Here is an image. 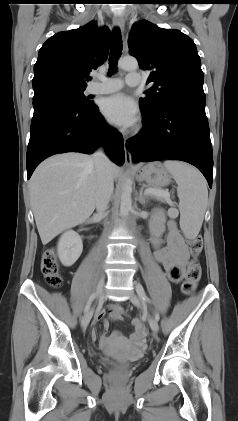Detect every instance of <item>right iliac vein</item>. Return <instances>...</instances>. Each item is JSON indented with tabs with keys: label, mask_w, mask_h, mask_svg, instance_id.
<instances>
[{
	"label": "right iliac vein",
	"mask_w": 238,
	"mask_h": 421,
	"mask_svg": "<svg viewBox=\"0 0 238 421\" xmlns=\"http://www.w3.org/2000/svg\"><path fill=\"white\" fill-rule=\"evenodd\" d=\"M104 284H105V277L104 275H102V277L100 278L97 288H96V293H97V298L101 295L103 288H104ZM93 316V309L89 310L82 318L81 320V325L83 328H87L91 318Z\"/></svg>",
	"instance_id": "right-iliac-vein-1"
}]
</instances>
